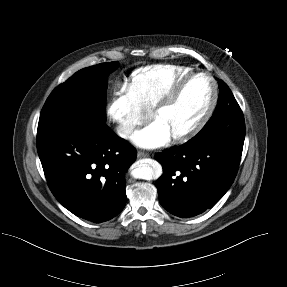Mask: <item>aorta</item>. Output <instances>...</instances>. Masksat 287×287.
Masks as SVG:
<instances>
[{
	"instance_id": "762f6f07",
	"label": "aorta",
	"mask_w": 287,
	"mask_h": 287,
	"mask_svg": "<svg viewBox=\"0 0 287 287\" xmlns=\"http://www.w3.org/2000/svg\"><path fill=\"white\" fill-rule=\"evenodd\" d=\"M162 167L160 164H143L132 171V176L137 179L152 180L160 177Z\"/></svg>"
}]
</instances>
